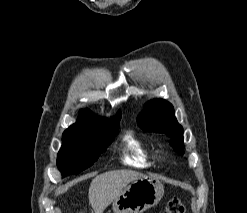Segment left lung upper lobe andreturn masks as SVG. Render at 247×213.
<instances>
[{
    "instance_id": "5c2ea615",
    "label": "left lung upper lobe",
    "mask_w": 247,
    "mask_h": 213,
    "mask_svg": "<svg viewBox=\"0 0 247 213\" xmlns=\"http://www.w3.org/2000/svg\"><path fill=\"white\" fill-rule=\"evenodd\" d=\"M138 125L147 131L167 134L172 138V147L178 153H184L183 128L177 122L173 106L169 102L163 99L148 102L138 117Z\"/></svg>"
}]
</instances>
